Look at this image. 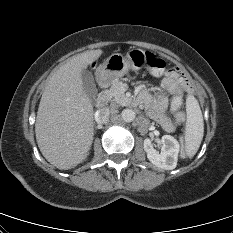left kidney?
<instances>
[{"label": "left kidney", "mask_w": 233, "mask_h": 233, "mask_svg": "<svg viewBox=\"0 0 233 233\" xmlns=\"http://www.w3.org/2000/svg\"><path fill=\"white\" fill-rule=\"evenodd\" d=\"M160 153L154 149L153 143L149 138L144 140V150L147 153L148 160L158 168L172 170L177 165L180 145L178 141L170 136L164 135L160 140Z\"/></svg>", "instance_id": "left-kidney-1"}]
</instances>
